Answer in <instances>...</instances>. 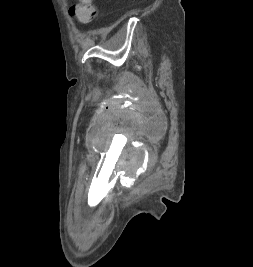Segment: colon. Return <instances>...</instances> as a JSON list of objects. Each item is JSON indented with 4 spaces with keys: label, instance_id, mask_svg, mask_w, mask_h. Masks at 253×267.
Segmentation results:
<instances>
[{
    "label": "colon",
    "instance_id": "colon-1",
    "mask_svg": "<svg viewBox=\"0 0 253 267\" xmlns=\"http://www.w3.org/2000/svg\"><path fill=\"white\" fill-rule=\"evenodd\" d=\"M69 12L82 24L90 23L96 16V8L93 0H79V4L72 6Z\"/></svg>",
    "mask_w": 253,
    "mask_h": 267
}]
</instances>
